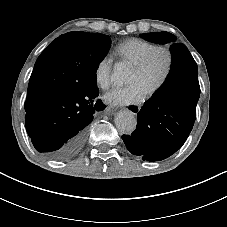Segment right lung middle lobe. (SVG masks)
<instances>
[{
	"label": "right lung middle lobe",
	"mask_w": 227,
	"mask_h": 227,
	"mask_svg": "<svg viewBox=\"0 0 227 227\" xmlns=\"http://www.w3.org/2000/svg\"><path fill=\"white\" fill-rule=\"evenodd\" d=\"M111 45V38L100 33L69 32L56 38L36 63L71 74L66 91L83 94L97 89L96 71Z\"/></svg>",
	"instance_id": "right-lung-middle-lobe-1"
}]
</instances>
